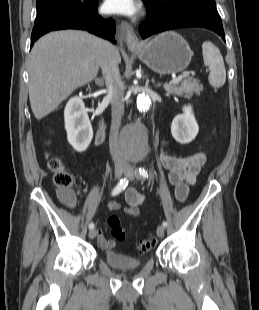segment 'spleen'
<instances>
[{
  "instance_id": "obj_1",
  "label": "spleen",
  "mask_w": 259,
  "mask_h": 310,
  "mask_svg": "<svg viewBox=\"0 0 259 310\" xmlns=\"http://www.w3.org/2000/svg\"><path fill=\"white\" fill-rule=\"evenodd\" d=\"M202 54L204 64L210 69L209 84L215 88L223 86L226 81V69L220 50L212 42L206 41L202 45Z\"/></svg>"
}]
</instances>
